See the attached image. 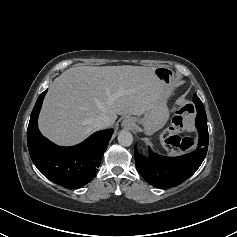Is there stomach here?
Segmentation results:
<instances>
[{
	"label": "stomach",
	"instance_id": "obj_1",
	"mask_svg": "<svg viewBox=\"0 0 237 237\" xmlns=\"http://www.w3.org/2000/svg\"><path fill=\"white\" fill-rule=\"evenodd\" d=\"M155 75L161 83L158 98L154 105L144 113L143 117L138 118V122L144 126V132L147 135H151L161 129L168 121L167 98L175 83V73L170 68L157 67Z\"/></svg>",
	"mask_w": 237,
	"mask_h": 237
}]
</instances>
